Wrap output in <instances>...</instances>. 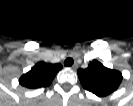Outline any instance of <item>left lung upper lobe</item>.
<instances>
[{
    "label": "left lung upper lobe",
    "mask_w": 133,
    "mask_h": 106,
    "mask_svg": "<svg viewBox=\"0 0 133 106\" xmlns=\"http://www.w3.org/2000/svg\"><path fill=\"white\" fill-rule=\"evenodd\" d=\"M78 76L86 90L100 97L114 92L122 81L119 71L106 68L97 60L92 61L88 68L79 69Z\"/></svg>",
    "instance_id": "obj_1"
}]
</instances>
